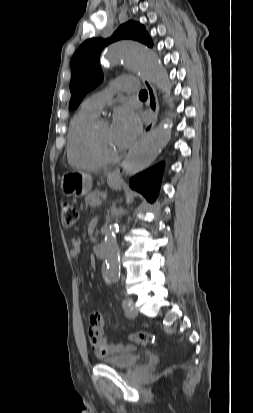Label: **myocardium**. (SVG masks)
I'll return each mask as SVG.
<instances>
[{"label": "myocardium", "instance_id": "1", "mask_svg": "<svg viewBox=\"0 0 253 413\" xmlns=\"http://www.w3.org/2000/svg\"><path fill=\"white\" fill-rule=\"evenodd\" d=\"M104 123H107V121L102 118H98L92 123L88 133V142L90 150L92 154L95 156V158L99 160L102 164H109L119 160L121 152L120 150H118L116 152L110 153L106 152L101 147L98 140V129Z\"/></svg>", "mask_w": 253, "mask_h": 413}]
</instances>
